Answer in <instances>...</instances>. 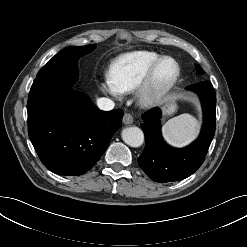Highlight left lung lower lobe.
I'll return each instance as SVG.
<instances>
[{
  "label": "left lung lower lobe",
  "mask_w": 247,
  "mask_h": 247,
  "mask_svg": "<svg viewBox=\"0 0 247 247\" xmlns=\"http://www.w3.org/2000/svg\"><path fill=\"white\" fill-rule=\"evenodd\" d=\"M188 90L196 92L202 101L204 123L199 138L183 149L168 146L160 133V111L157 107L142 115L141 128L146 143L138 158L139 166L155 182H171L192 175L203 163L215 134L216 93L209 81L192 84Z\"/></svg>",
  "instance_id": "left-lung-lower-lobe-1"
}]
</instances>
